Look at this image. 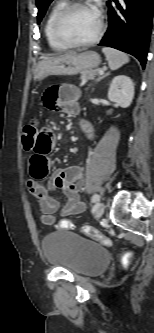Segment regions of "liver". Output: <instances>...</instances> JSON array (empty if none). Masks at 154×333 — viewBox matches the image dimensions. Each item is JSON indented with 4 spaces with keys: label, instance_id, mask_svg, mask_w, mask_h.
Instances as JSON below:
<instances>
[{
    "label": "liver",
    "instance_id": "liver-1",
    "mask_svg": "<svg viewBox=\"0 0 154 333\" xmlns=\"http://www.w3.org/2000/svg\"><path fill=\"white\" fill-rule=\"evenodd\" d=\"M51 58H54V57H47V56H41L40 57V59H42V60L51 59Z\"/></svg>",
    "mask_w": 154,
    "mask_h": 333
}]
</instances>
